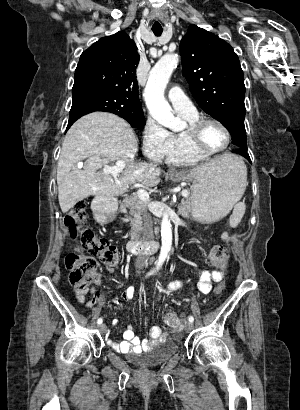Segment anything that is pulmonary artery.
<instances>
[{
  "label": "pulmonary artery",
  "instance_id": "1",
  "mask_svg": "<svg viewBox=\"0 0 300 410\" xmlns=\"http://www.w3.org/2000/svg\"><path fill=\"white\" fill-rule=\"evenodd\" d=\"M167 97L175 111L181 113L196 112L192 101L179 88L173 87L169 89Z\"/></svg>",
  "mask_w": 300,
  "mask_h": 410
}]
</instances>
